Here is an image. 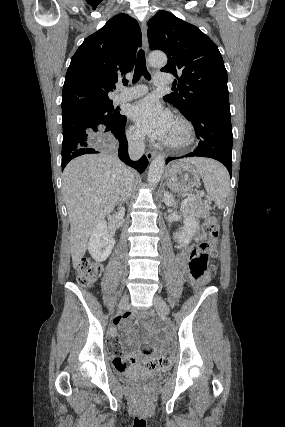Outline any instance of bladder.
Returning a JSON list of instances; mask_svg holds the SVG:
<instances>
[{
    "mask_svg": "<svg viewBox=\"0 0 285 427\" xmlns=\"http://www.w3.org/2000/svg\"><path fill=\"white\" fill-rule=\"evenodd\" d=\"M127 382H135L140 379L154 380L162 382L166 380L167 373L161 370L146 371L141 367L129 366L126 370H119Z\"/></svg>",
    "mask_w": 285,
    "mask_h": 427,
    "instance_id": "bladder-1",
    "label": "bladder"
}]
</instances>
